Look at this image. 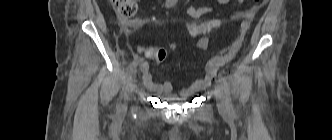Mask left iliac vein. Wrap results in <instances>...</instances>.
I'll list each match as a JSON object with an SVG mask.
<instances>
[{
	"instance_id": "left-iliac-vein-1",
	"label": "left iliac vein",
	"mask_w": 332,
	"mask_h": 140,
	"mask_svg": "<svg viewBox=\"0 0 332 140\" xmlns=\"http://www.w3.org/2000/svg\"><path fill=\"white\" fill-rule=\"evenodd\" d=\"M217 87L215 90V97L217 99V106L220 112L224 113L227 111V103H226V97L223 91V85L222 82L219 79H217Z\"/></svg>"
}]
</instances>
